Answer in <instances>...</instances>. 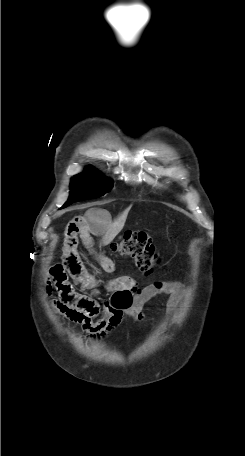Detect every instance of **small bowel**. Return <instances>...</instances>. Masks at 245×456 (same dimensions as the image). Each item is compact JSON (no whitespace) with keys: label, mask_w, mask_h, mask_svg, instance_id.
Segmentation results:
<instances>
[{"label":"small bowel","mask_w":245,"mask_h":456,"mask_svg":"<svg viewBox=\"0 0 245 456\" xmlns=\"http://www.w3.org/2000/svg\"><path fill=\"white\" fill-rule=\"evenodd\" d=\"M107 223L108 214L100 209L92 210L85 216L75 217L68 223L65 230L63 263L51 268V281L46 287L47 293H50L52 282L59 292V298L51 303L53 310L80 324L87 334V339L95 341L107 337L120 324L124 315L137 321L143 320L145 305L161 293L170 295V312H173L183 296L189 295L187 289L176 283L139 288L136 280L130 276L102 281L88 273L82 267L77 253L78 236L85 245L91 247L92 236L104 233ZM94 255L105 272L115 271V263L110 258L95 252ZM68 275L90 290L92 295L98 294L99 288L103 287L110 293L109 298L101 302L92 296L76 292L68 282Z\"/></svg>","instance_id":"1"}]
</instances>
